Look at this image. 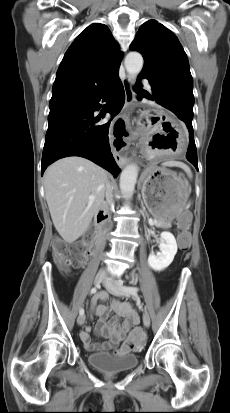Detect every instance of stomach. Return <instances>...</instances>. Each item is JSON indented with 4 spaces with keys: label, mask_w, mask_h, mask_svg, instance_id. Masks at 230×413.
Returning <instances> with one entry per match:
<instances>
[{
    "label": "stomach",
    "mask_w": 230,
    "mask_h": 413,
    "mask_svg": "<svg viewBox=\"0 0 230 413\" xmlns=\"http://www.w3.org/2000/svg\"><path fill=\"white\" fill-rule=\"evenodd\" d=\"M188 195L187 182L175 172L156 166L144 172L143 201L157 221L176 218L186 207Z\"/></svg>",
    "instance_id": "1"
}]
</instances>
